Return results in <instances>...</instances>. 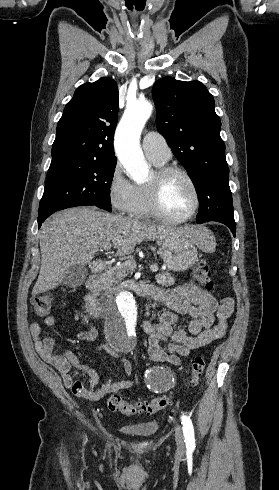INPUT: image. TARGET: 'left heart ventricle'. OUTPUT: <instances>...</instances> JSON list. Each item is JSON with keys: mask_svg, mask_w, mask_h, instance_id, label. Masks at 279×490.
Instances as JSON below:
<instances>
[{"mask_svg": "<svg viewBox=\"0 0 279 490\" xmlns=\"http://www.w3.org/2000/svg\"><path fill=\"white\" fill-rule=\"evenodd\" d=\"M154 178L155 174L151 181ZM161 201L164 210L170 216L180 218L187 215L192 209L194 192L189 182L183 176L173 174L164 183Z\"/></svg>", "mask_w": 279, "mask_h": 490, "instance_id": "left-heart-ventricle-1", "label": "left heart ventricle"}]
</instances>
